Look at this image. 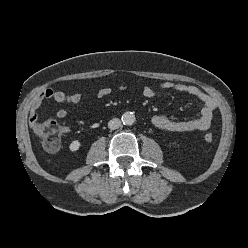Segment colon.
Instances as JSON below:
<instances>
[{
    "label": "colon",
    "instance_id": "obj_1",
    "mask_svg": "<svg viewBox=\"0 0 248 248\" xmlns=\"http://www.w3.org/2000/svg\"><path fill=\"white\" fill-rule=\"evenodd\" d=\"M33 130L46 151L54 153L60 149L62 129L56 121L48 120L36 123ZM204 139L207 143H210L213 140V136L211 133H207Z\"/></svg>",
    "mask_w": 248,
    "mask_h": 248
}]
</instances>
